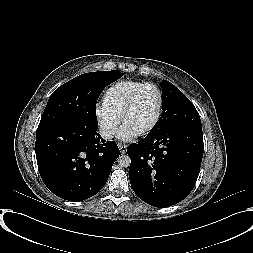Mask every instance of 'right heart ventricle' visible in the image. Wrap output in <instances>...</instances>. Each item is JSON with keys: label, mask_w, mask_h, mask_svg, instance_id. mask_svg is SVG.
Listing matches in <instances>:
<instances>
[{"label": "right heart ventricle", "mask_w": 253, "mask_h": 253, "mask_svg": "<svg viewBox=\"0 0 253 253\" xmlns=\"http://www.w3.org/2000/svg\"><path fill=\"white\" fill-rule=\"evenodd\" d=\"M144 83L146 82L129 79L119 80L105 90L102 97V104L114 114L120 116L130 95Z\"/></svg>", "instance_id": "1"}]
</instances>
